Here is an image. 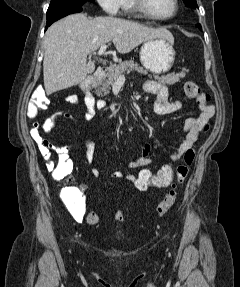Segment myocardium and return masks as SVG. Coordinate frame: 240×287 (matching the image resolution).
I'll list each match as a JSON object with an SVG mask.
<instances>
[{
  "label": "myocardium",
  "mask_w": 240,
  "mask_h": 287,
  "mask_svg": "<svg viewBox=\"0 0 240 287\" xmlns=\"http://www.w3.org/2000/svg\"><path fill=\"white\" fill-rule=\"evenodd\" d=\"M136 9L139 13L144 15L145 17L154 20V21H169L173 19L179 12V0H173L174 8L171 14L167 16H157L152 13V11L149 9L146 0H134Z\"/></svg>",
  "instance_id": "f54148a6"
}]
</instances>
